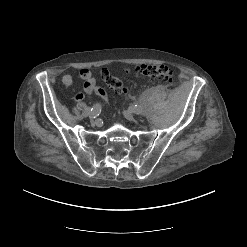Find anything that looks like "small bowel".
I'll return each instance as SVG.
<instances>
[{
  "label": "small bowel",
  "mask_w": 247,
  "mask_h": 247,
  "mask_svg": "<svg viewBox=\"0 0 247 247\" xmlns=\"http://www.w3.org/2000/svg\"><path fill=\"white\" fill-rule=\"evenodd\" d=\"M78 78L83 82L84 93H78L75 99L82 101L94 93L96 90V80L92 72L85 68L78 72ZM62 84L66 88H69L73 84V77L69 74L64 75L62 77Z\"/></svg>",
  "instance_id": "small-bowel-1"
}]
</instances>
